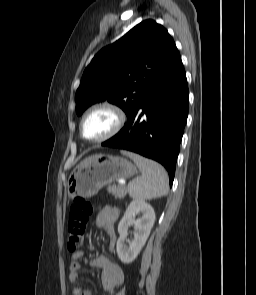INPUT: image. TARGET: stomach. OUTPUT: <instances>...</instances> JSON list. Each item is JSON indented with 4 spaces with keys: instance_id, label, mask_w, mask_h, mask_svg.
<instances>
[{
    "instance_id": "1",
    "label": "stomach",
    "mask_w": 256,
    "mask_h": 295,
    "mask_svg": "<svg viewBox=\"0 0 256 295\" xmlns=\"http://www.w3.org/2000/svg\"><path fill=\"white\" fill-rule=\"evenodd\" d=\"M137 172L135 165L123 157L98 154L79 164L69 177L67 194L70 198H89L117 179Z\"/></svg>"
}]
</instances>
